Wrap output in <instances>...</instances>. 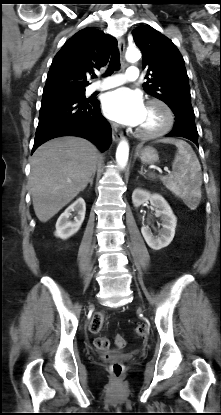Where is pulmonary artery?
Masks as SVG:
<instances>
[{
  "instance_id": "1",
  "label": "pulmonary artery",
  "mask_w": 221,
  "mask_h": 415,
  "mask_svg": "<svg viewBox=\"0 0 221 415\" xmlns=\"http://www.w3.org/2000/svg\"><path fill=\"white\" fill-rule=\"evenodd\" d=\"M139 70L135 66L127 68L125 74H117L106 77L100 82L94 83L89 87L90 92L108 90L117 86L122 85L127 81H135L138 79Z\"/></svg>"
}]
</instances>
